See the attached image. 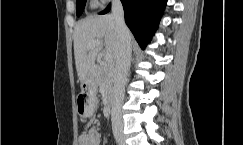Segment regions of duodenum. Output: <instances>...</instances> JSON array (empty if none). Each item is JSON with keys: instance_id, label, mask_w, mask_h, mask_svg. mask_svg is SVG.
Returning <instances> with one entry per match:
<instances>
[{"instance_id": "1", "label": "duodenum", "mask_w": 243, "mask_h": 145, "mask_svg": "<svg viewBox=\"0 0 243 145\" xmlns=\"http://www.w3.org/2000/svg\"><path fill=\"white\" fill-rule=\"evenodd\" d=\"M108 105H109L110 107H113V106H114V97H113L112 95H110V96L108 97Z\"/></svg>"}]
</instances>
